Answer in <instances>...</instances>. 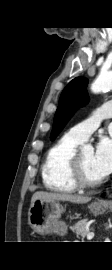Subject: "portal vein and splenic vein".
I'll use <instances>...</instances> for the list:
<instances>
[{"instance_id": "obj_1", "label": "portal vein and splenic vein", "mask_w": 112, "mask_h": 270, "mask_svg": "<svg viewBox=\"0 0 112 270\" xmlns=\"http://www.w3.org/2000/svg\"><path fill=\"white\" fill-rule=\"evenodd\" d=\"M93 238H94V233H93V232L88 233L87 239H88V240H91V239H93Z\"/></svg>"}]
</instances>
